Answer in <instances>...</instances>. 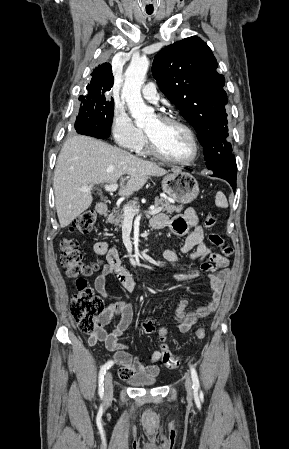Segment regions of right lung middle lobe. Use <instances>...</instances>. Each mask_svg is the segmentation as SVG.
<instances>
[{"mask_svg": "<svg viewBox=\"0 0 289 449\" xmlns=\"http://www.w3.org/2000/svg\"><path fill=\"white\" fill-rule=\"evenodd\" d=\"M81 107L75 129L83 135L109 137L113 120L114 101L104 93L79 97Z\"/></svg>", "mask_w": 289, "mask_h": 449, "instance_id": "right-lung-middle-lobe-1", "label": "right lung middle lobe"}]
</instances>
